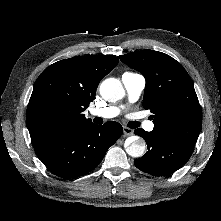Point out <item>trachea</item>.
Wrapping results in <instances>:
<instances>
[{
    "label": "trachea",
    "mask_w": 221,
    "mask_h": 221,
    "mask_svg": "<svg viewBox=\"0 0 221 221\" xmlns=\"http://www.w3.org/2000/svg\"><path fill=\"white\" fill-rule=\"evenodd\" d=\"M139 126H140V123L137 121H132V122L128 123V127H130V128H137Z\"/></svg>",
    "instance_id": "3493384b"
}]
</instances>
